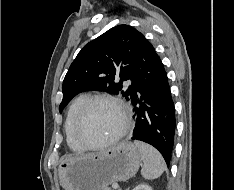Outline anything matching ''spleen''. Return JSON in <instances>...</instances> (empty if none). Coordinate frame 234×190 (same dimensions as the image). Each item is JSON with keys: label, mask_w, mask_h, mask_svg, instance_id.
I'll return each instance as SVG.
<instances>
[{"label": "spleen", "mask_w": 234, "mask_h": 190, "mask_svg": "<svg viewBox=\"0 0 234 190\" xmlns=\"http://www.w3.org/2000/svg\"><path fill=\"white\" fill-rule=\"evenodd\" d=\"M144 162L141 174L145 179L153 180L160 177L166 169L162 155L151 145L141 141H134Z\"/></svg>", "instance_id": "obj_1"}]
</instances>
